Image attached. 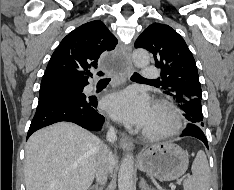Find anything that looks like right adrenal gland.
Here are the masks:
<instances>
[{
  "label": "right adrenal gland",
  "instance_id": "obj_1",
  "mask_svg": "<svg viewBox=\"0 0 234 190\" xmlns=\"http://www.w3.org/2000/svg\"><path fill=\"white\" fill-rule=\"evenodd\" d=\"M89 190H102V187H99L98 185H93L89 188Z\"/></svg>",
  "mask_w": 234,
  "mask_h": 190
}]
</instances>
